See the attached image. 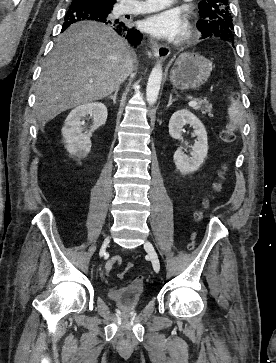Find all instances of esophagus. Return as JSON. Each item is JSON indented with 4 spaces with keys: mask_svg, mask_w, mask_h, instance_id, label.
Here are the masks:
<instances>
[{
    "mask_svg": "<svg viewBox=\"0 0 276 363\" xmlns=\"http://www.w3.org/2000/svg\"><path fill=\"white\" fill-rule=\"evenodd\" d=\"M170 54V49L166 45H156L154 47V55L159 60H165Z\"/></svg>",
    "mask_w": 276,
    "mask_h": 363,
    "instance_id": "esophagus-1",
    "label": "esophagus"
}]
</instances>
